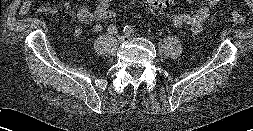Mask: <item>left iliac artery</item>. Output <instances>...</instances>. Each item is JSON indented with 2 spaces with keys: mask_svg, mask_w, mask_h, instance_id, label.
I'll return each instance as SVG.
<instances>
[{
  "mask_svg": "<svg viewBox=\"0 0 253 131\" xmlns=\"http://www.w3.org/2000/svg\"><path fill=\"white\" fill-rule=\"evenodd\" d=\"M125 34H132L133 33V27L130 25H126L123 29Z\"/></svg>",
  "mask_w": 253,
  "mask_h": 131,
  "instance_id": "44dca946",
  "label": "left iliac artery"
}]
</instances>
